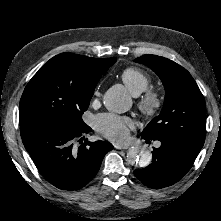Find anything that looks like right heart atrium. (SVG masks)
I'll use <instances>...</instances> for the list:
<instances>
[{
  "label": "right heart atrium",
  "mask_w": 221,
  "mask_h": 221,
  "mask_svg": "<svg viewBox=\"0 0 221 221\" xmlns=\"http://www.w3.org/2000/svg\"><path fill=\"white\" fill-rule=\"evenodd\" d=\"M100 95V91H99V88L97 87L95 90H94V96H99Z\"/></svg>",
  "instance_id": "d8ad5b80"
}]
</instances>
